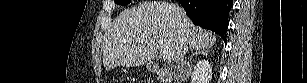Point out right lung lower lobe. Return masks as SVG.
Returning <instances> with one entry per match:
<instances>
[{
    "mask_svg": "<svg viewBox=\"0 0 307 83\" xmlns=\"http://www.w3.org/2000/svg\"><path fill=\"white\" fill-rule=\"evenodd\" d=\"M179 2L194 24L218 33L226 41L228 15L233 0H179Z\"/></svg>",
    "mask_w": 307,
    "mask_h": 83,
    "instance_id": "obj_1",
    "label": "right lung lower lobe"
}]
</instances>
